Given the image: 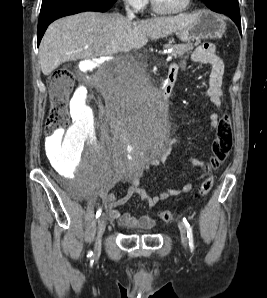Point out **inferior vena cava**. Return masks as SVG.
<instances>
[{"label":"inferior vena cava","mask_w":267,"mask_h":298,"mask_svg":"<svg viewBox=\"0 0 267 298\" xmlns=\"http://www.w3.org/2000/svg\"><path fill=\"white\" fill-rule=\"evenodd\" d=\"M126 12L128 20L135 18L134 13L130 10L129 6H126ZM120 65L124 72H129L134 66V59L132 57H123L120 61Z\"/></svg>","instance_id":"602c4592"}]
</instances>
